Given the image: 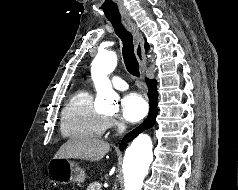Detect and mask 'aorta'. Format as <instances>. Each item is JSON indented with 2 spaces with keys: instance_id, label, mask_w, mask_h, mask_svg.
I'll use <instances>...</instances> for the list:
<instances>
[{
  "instance_id": "1",
  "label": "aorta",
  "mask_w": 238,
  "mask_h": 190,
  "mask_svg": "<svg viewBox=\"0 0 238 190\" xmlns=\"http://www.w3.org/2000/svg\"><path fill=\"white\" fill-rule=\"evenodd\" d=\"M117 65L113 51H100L92 62V79L97 91L96 104L100 108L117 109L118 94L113 90L108 75ZM153 160L152 140L146 134H140L126 149L123 172L124 190H141L143 180Z\"/></svg>"
}]
</instances>
